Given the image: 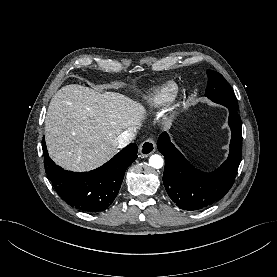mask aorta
<instances>
[{"label": "aorta", "instance_id": "762f6f07", "mask_svg": "<svg viewBox=\"0 0 277 277\" xmlns=\"http://www.w3.org/2000/svg\"><path fill=\"white\" fill-rule=\"evenodd\" d=\"M163 163L164 161L160 155L154 154V155H151L149 158L150 166L155 169H160L163 166Z\"/></svg>", "mask_w": 277, "mask_h": 277}]
</instances>
